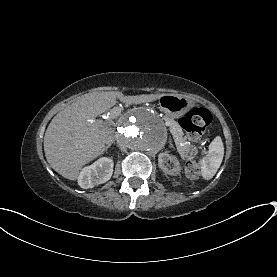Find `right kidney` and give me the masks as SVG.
I'll use <instances>...</instances> for the list:
<instances>
[{"label": "right kidney", "mask_w": 277, "mask_h": 277, "mask_svg": "<svg viewBox=\"0 0 277 277\" xmlns=\"http://www.w3.org/2000/svg\"><path fill=\"white\" fill-rule=\"evenodd\" d=\"M113 160L101 157L92 165L84 167L78 176V185L83 189L93 188L110 180L113 174Z\"/></svg>", "instance_id": "1"}]
</instances>
